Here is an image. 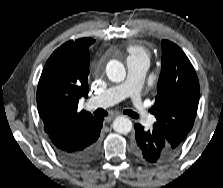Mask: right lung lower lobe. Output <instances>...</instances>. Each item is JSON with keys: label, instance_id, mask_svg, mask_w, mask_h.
<instances>
[{"label": "right lung lower lobe", "instance_id": "right-lung-lower-lobe-1", "mask_svg": "<svg viewBox=\"0 0 223 188\" xmlns=\"http://www.w3.org/2000/svg\"><path fill=\"white\" fill-rule=\"evenodd\" d=\"M103 118H95L86 125L48 135L56 154L71 166H84L99 154V136Z\"/></svg>", "mask_w": 223, "mask_h": 188}]
</instances>
